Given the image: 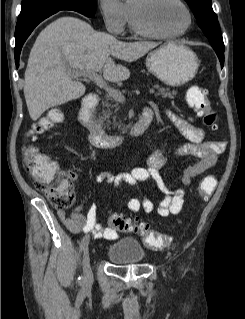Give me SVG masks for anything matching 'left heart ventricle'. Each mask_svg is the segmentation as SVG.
<instances>
[{
  "label": "left heart ventricle",
  "instance_id": "left-heart-ventricle-1",
  "mask_svg": "<svg viewBox=\"0 0 245 319\" xmlns=\"http://www.w3.org/2000/svg\"><path fill=\"white\" fill-rule=\"evenodd\" d=\"M145 17L153 28L166 33L180 31L187 24V15L175 0H152Z\"/></svg>",
  "mask_w": 245,
  "mask_h": 319
}]
</instances>
